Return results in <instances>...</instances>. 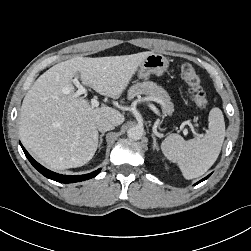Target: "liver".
<instances>
[{
	"label": "liver",
	"mask_w": 251,
	"mask_h": 251,
	"mask_svg": "<svg viewBox=\"0 0 251 251\" xmlns=\"http://www.w3.org/2000/svg\"><path fill=\"white\" fill-rule=\"evenodd\" d=\"M151 53L76 57L48 69L33 83L22 102L19 133L25 147L53 169L88 163L98 147L97 120L107 118L117 126L125 119L114 108H94L82 97H75L72 78L79 73L84 85L115 98Z\"/></svg>",
	"instance_id": "6515ba94"
}]
</instances>
